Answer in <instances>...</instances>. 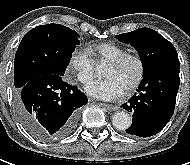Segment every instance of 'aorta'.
<instances>
[{
    "instance_id": "762f6f07",
    "label": "aorta",
    "mask_w": 190,
    "mask_h": 165,
    "mask_svg": "<svg viewBox=\"0 0 190 165\" xmlns=\"http://www.w3.org/2000/svg\"><path fill=\"white\" fill-rule=\"evenodd\" d=\"M131 122L130 115L124 111L115 113L112 118V124L118 130L128 129L131 126Z\"/></svg>"
}]
</instances>
